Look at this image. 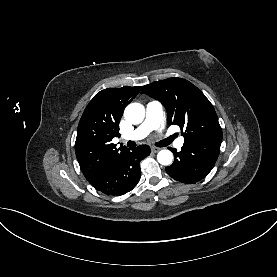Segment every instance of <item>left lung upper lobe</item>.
Returning <instances> with one entry per match:
<instances>
[{"instance_id": "left-lung-upper-lobe-1", "label": "left lung upper lobe", "mask_w": 277, "mask_h": 277, "mask_svg": "<svg viewBox=\"0 0 277 277\" xmlns=\"http://www.w3.org/2000/svg\"><path fill=\"white\" fill-rule=\"evenodd\" d=\"M142 93L164 105L168 123L185 130V142L222 137V130L212 104L189 81L182 78L160 80L145 85Z\"/></svg>"}]
</instances>
